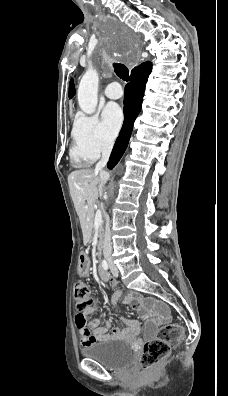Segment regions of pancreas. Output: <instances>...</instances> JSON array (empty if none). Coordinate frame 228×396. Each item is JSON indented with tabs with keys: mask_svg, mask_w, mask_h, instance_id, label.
I'll return each instance as SVG.
<instances>
[{
	"mask_svg": "<svg viewBox=\"0 0 228 396\" xmlns=\"http://www.w3.org/2000/svg\"><path fill=\"white\" fill-rule=\"evenodd\" d=\"M90 225H91V228H90V233H92L93 235L97 232V229L96 228H93V217H92V219H91V221H90ZM103 235H104V229H103V226H102V224H100V226H99V228H98V237H99V242H98V251H99V253H100V251H101V248H102V241H103ZM92 238L90 239V243L92 242Z\"/></svg>",
	"mask_w": 228,
	"mask_h": 396,
	"instance_id": "1",
	"label": "pancreas"
}]
</instances>
